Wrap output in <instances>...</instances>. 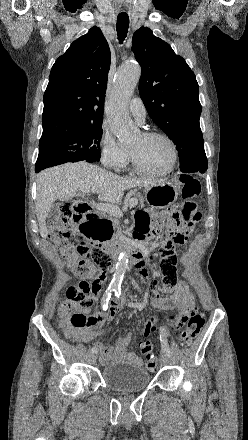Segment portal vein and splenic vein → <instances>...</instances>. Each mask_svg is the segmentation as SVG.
<instances>
[{"label": "portal vein and splenic vein", "instance_id": "18ae733b", "mask_svg": "<svg viewBox=\"0 0 248 440\" xmlns=\"http://www.w3.org/2000/svg\"><path fill=\"white\" fill-rule=\"evenodd\" d=\"M81 191L83 193H88L90 191V187L85 186L81 189ZM138 201L134 198H131L129 200V206L130 208H133L137 205ZM97 209L102 211V212H106L109 213L112 216L115 217H121L123 215L122 211L120 210V208L116 205L110 204V203H99L97 205Z\"/></svg>", "mask_w": 248, "mask_h": 440}]
</instances>
